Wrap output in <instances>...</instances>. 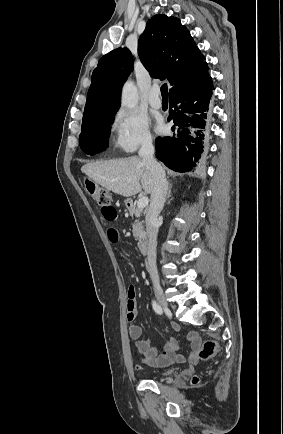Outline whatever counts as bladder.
Listing matches in <instances>:
<instances>
[{"label": "bladder", "mask_w": 283, "mask_h": 434, "mask_svg": "<svg viewBox=\"0 0 283 434\" xmlns=\"http://www.w3.org/2000/svg\"><path fill=\"white\" fill-rule=\"evenodd\" d=\"M175 371H176L175 368H171L164 371H153L152 374L154 376H166V375L173 374Z\"/></svg>", "instance_id": "1"}]
</instances>
